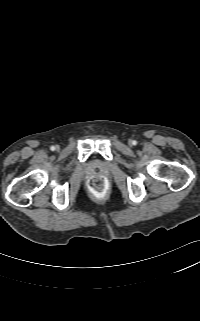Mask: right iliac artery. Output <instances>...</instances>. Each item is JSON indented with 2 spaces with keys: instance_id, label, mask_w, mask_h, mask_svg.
Masks as SVG:
<instances>
[{
  "instance_id": "1",
  "label": "right iliac artery",
  "mask_w": 200,
  "mask_h": 321,
  "mask_svg": "<svg viewBox=\"0 0 200 321\" xmlns=\"http://www.w3.org/2000/svg\"><path fill=\"white\" fill-rule=\"evenodd\" d=\"M52 151H54L55 150V146H51V148H50Z\"/></svg>"
}]
</instances>
